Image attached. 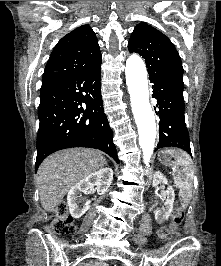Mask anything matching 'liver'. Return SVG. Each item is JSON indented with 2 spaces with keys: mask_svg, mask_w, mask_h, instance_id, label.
Segmentation results:
<instances>
[{
  "mask_svg": "<svg viewBox=\"0 0 221 266\" xmlns=\"http://www.w3.org/2000/svg\"><path fill=\"white\" fill-rule=\"evenodd\" d=\"M101 151L73 148L56 152L46 158L37 172L41 205L52 212L71 186L105 165Z\"/></svg>",
  "mask_w": 221,
  "mask_h": 266,
  "instance_id": "obj_1",
  "label": "liver"
}]
</instances>
